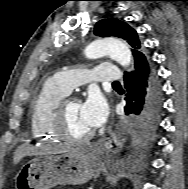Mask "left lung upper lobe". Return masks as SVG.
I'll return each mask as SVG.
<instances>
[{
	"label": "left lung upper lobe",
	"instance_id": "left-lung-upper-lobe-1",
	"mask_svg": "<svg viewBox=\"0 0 188 189\" xmlns=\"http://www.w3.org/2000/svg\"><path fill=\"white\" fill-rule=\"evenodd\" d=\"M94 34L101 37L115 36L126 40V42L132 47L131 51L135 64L142 59L147 60V56L142 52L141 42L136 31L123 21L116 18L100 20L95 25ZM155 128L156 126L149 128L144 132L137 133L140 135L149 134L152 133Z\"/></svg>",
	"mask_w": 188,
	"mask_h": 189
}]
</instances>
